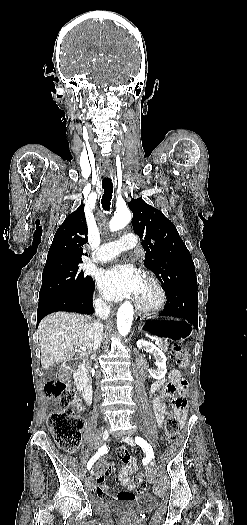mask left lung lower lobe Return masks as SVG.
I'll return each mask as SVG.
<instances>
[{"mask_svg":"<svg viewBox=\"0 0 247 525\" xmlns=\"http://www.w3.org/2000/svg\"><path fill=\"white\" fill-rule=\"evenodd\" d=\"M167 294V293H166ZM161 316L187 319L198 328V294L195 290H179L167 294V302Z\"/></svg>","mask_w":247,"mask_h":525,"instance_id":"left-lung-lower-lobe-1","label":"left lung lower lobe"}]
</instances>
